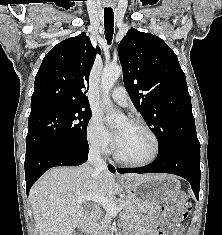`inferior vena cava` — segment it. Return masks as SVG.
<instances>
[{
	"mask_svg": "<svg viewBox=\"0 0 222 235\" xmlns=\"http://www.w3.org/2000/svg\"><path fill=\"white\" fill-rule=\"evenodd\" d=\"M88 162L98 170H105L107 168L106 162L101 158L100 151L96 147L90 148Z\"/></svg>",
	"mask_w": 222,
	"mask_h": 235,
	"instance_id": "inferior-vena-cava-1",
	"label": "inferior vena cava"
}]
</instances>
